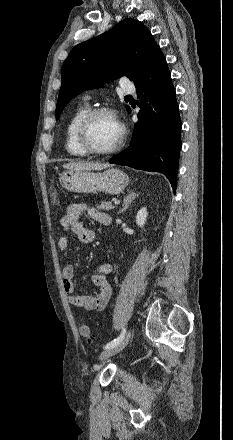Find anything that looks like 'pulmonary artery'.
Masks as SVG:
<instances>
[{
	"instance_id": "e3ab8cb5",
	"label": "pulmonary artery",
	"mask_w": 233,
	"mask_h": 440,
	"mask_svg": "<svg viewBox=\"0 0 233 440\" xmlns=\"http://www.w3.org/2000/svg\"><path fill=\"white\" fill-rule=\"evenodd\" d=\"M121 88H122V91L125 92V93H133V92H135V86L132 83H130V82L122 83Z\"/></svg>"
}]
</instances>
